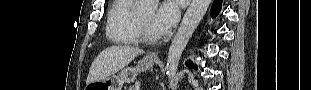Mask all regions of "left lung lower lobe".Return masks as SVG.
<instances>
[{
    "label": "left lung lower lobe",
    "mask_w": 311,
    "mask_h": 90,
    "mask_svg": "<svg viewBox=\"0 0 311 90\" xmlns=\"http://www.w3.org/2000/svg\"><path fill=\"white\" fill-rule=\"evenodd\" d=\"M221 3H222V0H214V3L212 5V9H211V15L212 16H216L219 12H220V8H221ZM186 65L189 67V68H194V69H197L196 65H194L192 62L188 61L186 63Z\"/></svg>",
    "instance_id": "obj_1"
}]
</instances>
